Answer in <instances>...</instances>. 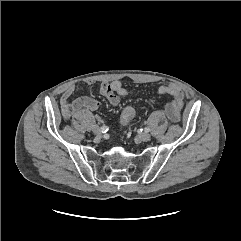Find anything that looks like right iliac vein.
I'll return each instance as SVG.
<instances>
[{
	"label": "right iliac vein",
	"mask_w": 241,
	"mask_h": 241,
	"mask_svg": "<svg viewBox=\"0 0 241 241\" xmlns=\"http://www.w3.org/2000/svg\"><path fill=\"white\" fill-rule=\"evenodd\" d=\"M93 133L96 135H101L103 132H102L101 128H99L98 126H95L93 128Z\"/></svg>",
	"instance_id": "63e3f726"
}]
</instances>
